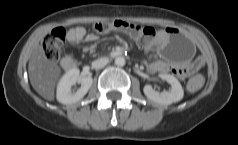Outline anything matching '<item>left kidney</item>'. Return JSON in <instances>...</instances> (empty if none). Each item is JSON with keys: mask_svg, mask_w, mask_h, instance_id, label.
I'll return each instance as SVG.
<instances>
[{"mask_svg": "<svg viewBox=\"0 0 238 145\" xmlns=\"http://www.w3.org/2000/svg\"><path fill=\"white\" fill-rule=\"evenodd\" d=\"M159 76L171 85V90L158 92L151 85H145L143 91L146 97L162 105H170L180 101L184 96V90L177 78L170 74H160Z\"/></svg>", "mask_w": 238, "mask_h": 145, "instance_id": "obj_1", "label": "left kidney"}]
</instances>
